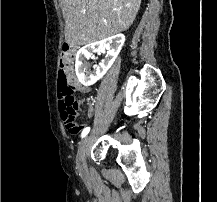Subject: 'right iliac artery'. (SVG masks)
Here are the masks:
<instances>
[{"label": "right iliac artery", "mask_w": 217, "mask_h": 202, "mask_svg": "<svg viewBox=\"0 0 217 202\" xmlns=\"http://www.w3.org/2000/svg\"><path fill=\"white\" fill-rule=\"evenodd\" d=\"M90 131V127H86L81 134V137L84 138Z\"/></svg>", "instance_id": "1"}]
</instances>
